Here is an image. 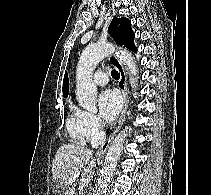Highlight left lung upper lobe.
Instances as JSON below:
<instances>
[{
  "label": "left lung upper lobe",
  "mask_w": 211,
  "mask_h": 195,
  "mask_svg": "<svg viewBox=\"0 0 211 195\" xmlns=\"http://www.w3.org/2000/svg\"><path fill=\"white\" fill-rule=\"evenodd\" d=\"M109 32L117 44L124 45L132 51L137 50L134 45V33L129 19L114 17L110 23Z\"/></svg>",
  "instance_id": "1"
}]
</instances>
